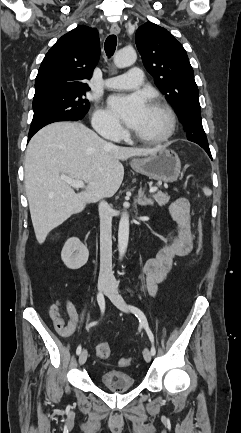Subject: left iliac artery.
Listing matches in <instances>:
<instances>
[{
    "instance_id": "44dca946",
    "label": "left iliac artery",
    "mask_w": 241,
    "mask_h": 433,
    "mask_svg": "<svg viewBox=\"0 0 241 433\" xmlns=\"http://www.w3.org/2000/svg\"><path fill=\"white\" fill-rule=\"evenodd\" d=\"M129 309L131 310L132 313L135 314V316L138 318L140 324L144 327V329H145V331L149 337V340L152 344L151 354L154 356L156 354V349L154 346V335H153L151 329L149 328L148 321H147L145 314L139 308H137L133 305H129Z\"/></svg>"
}]
</instances>
